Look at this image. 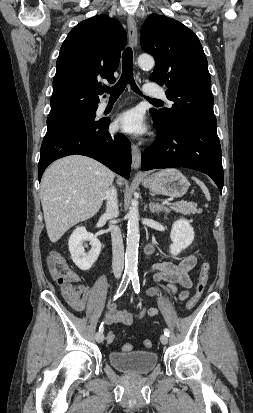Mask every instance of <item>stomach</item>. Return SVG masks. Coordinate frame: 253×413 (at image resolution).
<instances>
[{
	"label": "stomach",
	"instance_id": "0dacf381",
	"mask_svg": "<svg viewBox=\"0 0 253 413\" xmlns=\"http://www.w3.org/2000/svg\"><path fill=\"white\" fill-rule=\"evenodd\" d=\"M142 184L153 193L171 197H182L189 188L187 178L177 169H164L142 180Z\"/></svg>",
	"mask_w": 253,
	"mask_h": 413
}]
</instances>
